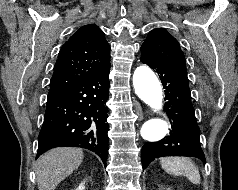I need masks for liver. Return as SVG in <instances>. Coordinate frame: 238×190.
<instances>
[{"label": "liver", "instance_id": "6515ba94", "mask_svg": "<svg viewBox=\"0 0 238 190\" xmlns=\"http://www.w3.org/2000/svg\"><path fill=\"white\" fill-rule=\"evenodd\" d=\"M84 158L82 149L59 147L49 150L36 162L39 190H55L57 185L75 171Z\"/></svg>", "mask_w": 238, "mask_h": 190}]
</instances>
